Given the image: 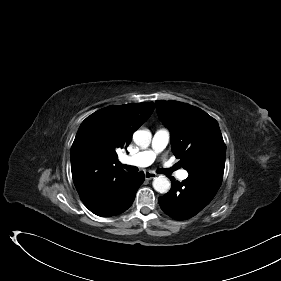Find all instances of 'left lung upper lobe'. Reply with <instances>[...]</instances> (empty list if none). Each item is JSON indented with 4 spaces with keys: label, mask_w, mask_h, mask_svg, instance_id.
Segmentation results:
<instances>
[{
    "label": "left lung upper lobe",
    "mask_w": 281,
    "mask_h": 281,
    "mask_svg": "<svg viewBox=\"0 0 281 281\" xmlns=\"http://www.w3.org/2000/svg\"><path fill=\"white\" fill-rule=\"evenodd\" d=\"M157 113L171 131L172 152L189 175L222 183L226 146L217 121L178 101H156Z\"/></svg>",
    "instance_id": "left-lung-upper-lobe-1"
}]
</instances>
